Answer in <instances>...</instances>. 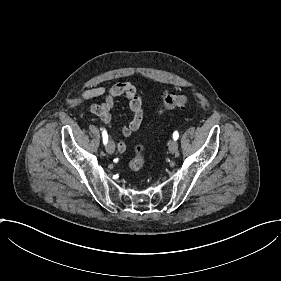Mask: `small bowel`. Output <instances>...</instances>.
<instances>
[{
    "mask_svg": "<svg viewBox=\"0 0 281 281\" xmlns=\"http://www.w3.org/2000/svg\"><path fill=\"white\" fill-rule=\"evenodd\" d=\"M106 95V99L102 104H91L87 110L89 113L100 118L102 122L109 125L111 124V108L116 98L123 97L127 100L128 107L132 112V119L127 127L122 129L124 137H130L132 132L137 130L143 121L144 111L142 107L141 93L135 86L127 82H119L114 84L110 89L104 86H96L86 90L83 95V101ZM119 151H125L127 146L123 141L117 144Z\"/></svg>",
    "mask_w": 281,
    "mask_h": 281,
    "instance_id": "1",
    "label": "small bowel"
}]
</instances>
